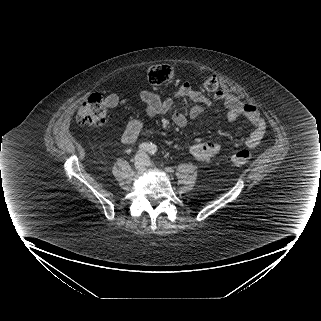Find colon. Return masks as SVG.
<instances>
[{
    "instance_id": "colon-1",
    "label": "colon",
    "mask_w": 321,
    "mask_h": 321,
    "mask_svg": "<svg viewBox=\"0 0 321 321\" xmlns=\"http://www.w3.org/2000/svg\"><path fill=\"white\" fill-rule=\"evenodd\" d=\"M174 70L170 65H153L147 70L148 80L153 84L165 83L173 77ZM203 87L208 92H216L219 89L217 77L211 76L203 82ZM107 104L103 96L99 93L90 95L81 105L77 114L76 121L84 127H99L105 124L107 118ZM251 159L248 150H239L229 157L231 164L243 166Z\"/></svg>"
}]
</instances>
